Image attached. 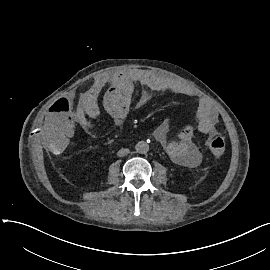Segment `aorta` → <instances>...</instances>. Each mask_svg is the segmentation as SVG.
Returning <instances> with one entry per match:
<instances>
[{"label": "aorta", "instance_id": "obj_1", "mask_svg": "<svg viewBox=\"0 0 270 270\" xmlns=\"http://www.w3.org/2000/svg\"><path fill=\"white\" fill-rule=\"evenodd\" d=\"M136 151L140 154H145L149 151V145L145 141H139L136 144Z\"/></svg>", "mask_w": 270, "mask_h": 270}]
</instances>
